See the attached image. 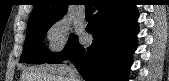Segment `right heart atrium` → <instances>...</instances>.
Listing matches in <instances>:
<instances>
[{"label": "right heart atrium", "mask_w": 169, "mask_h": 81, "mask_svg": "<svg viewBox=\"0 0 169 81\" xmlns=\"http://www.w3.org/2000/svg\"><path fill=\"white\" fill-rule=\"evenodd\" d=\"M49 50L58 54L64 51L69 43L70 25L64 18L54 19L46 29Z\"/></svg>", "instance_id": "1"}]
</instances>
